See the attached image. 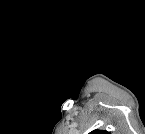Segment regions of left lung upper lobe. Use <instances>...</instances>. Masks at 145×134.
<instances>
[{"mask_svg":"<svg viewBox=\"0 0 145 134\" xmlns=\"http://www.w3.org/2000/svg\"><path fill=\"white\" fill-rule=\"evenodd\" d=\"M89 134H108V132L107 131L94 130V131L90 132Z\"/></svg>","mask_w":145,"mask_h":134,"instance_id":"left-lung-upper-lobe-1","label":"left lung upper lobe"}]
</instances>
